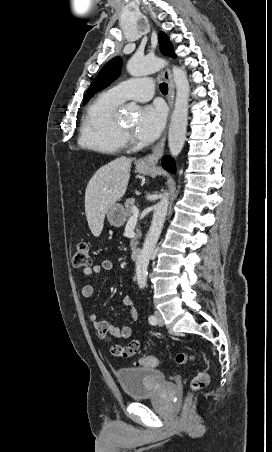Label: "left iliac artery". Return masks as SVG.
Wrapping results in <instances>:
<instances>
[{"label":"left iliac artery","instance_id":"44dca946","mask_svg":"<svg viewBox=\"0 0 272 452\" xmlns=\"http://www.w3.org/2000/svg\"><path fill=\"white\" fill-rule=\"evenodd\" d=\"M148 320H149V323L152 324V325L157 324V319H156V317L153 316V315H150L149 318H148Z\"/></svg>","mask_w":272,"mask_h":452}]
</instances>
